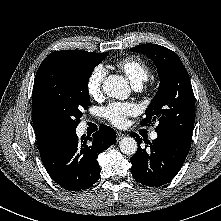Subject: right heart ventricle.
<instances>
[{
	"label": "right heart ventricle",
	"mask_w": 221,
	"mask_h": 221,
	"mask_svg": "<svg viewBox=\"0 0 221 221\" xmlns=\"http://www.w3.org/2000/svg\"><path fill=\"white\" fill-rule=\"evenodd\" d=\"M116 66L124 72L133 86L141 87L150 76L148 63L138 55H129L120 59Z\"/></svg>",
	"instance_id": "1"
}]
</instances>
